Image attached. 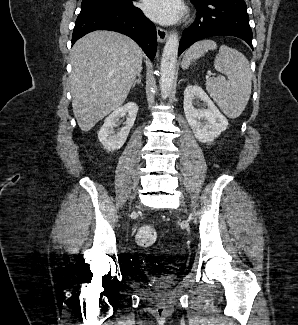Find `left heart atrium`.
Segmentation results:
<instances>
[{
  "label": "left heart atrium",
  "mask_w": 298,
  "mask_h": 325,
  "mask_svg": "<svg viewBox=\"0 0 298 325\" xmlns=\"http://www.w3.org/2000/svg\"><path fill=\"white\" fill-rule=\"evenodd\" d=\"M144 9L152 20L161 24H172L183 13L179 0H146Z\"/></svg>",
  "instance_id": "left-heart-atrium-1"
}]
</instances>
